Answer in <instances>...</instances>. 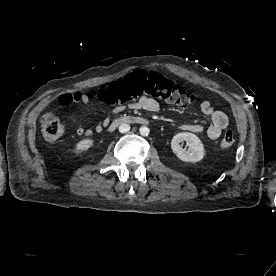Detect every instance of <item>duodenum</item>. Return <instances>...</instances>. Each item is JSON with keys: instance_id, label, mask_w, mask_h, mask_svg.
Wrapping results in <instances>:
<instances>
[{"instance_id": "410a0bca", "label": "duodenum", "mask_w": 276, "mask_h": 276, "mask_svg": "<svg viewBox=\"0 0 276 276\" xmlns=\"http://www.w3.org/2000/svg\"><path fill=\"white\" fill-rule=\"evenodd\" d=\"M145 123H147V120L142 117L127 115V116H121V117L115 118L109 124L108 128L110 131H113L117 126L122 124H145Z\"/></svg>"}]
</instances>
